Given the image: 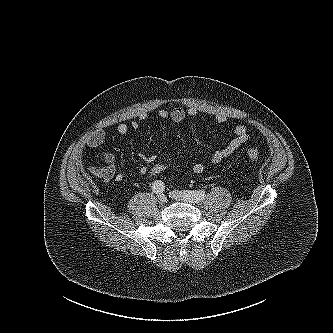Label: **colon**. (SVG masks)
<instances>
[{
	"instance_id": "1",
	"label": "colon",
	"mask_w": 333,
	"mask_h": 333,
	"mask_svg": "<svg viewBox=\"0 0 333 333\" xmlns=\"http://www.w3.org/2000/svg\"><path fill=\"white\" fill-rule=\"evenodd\" d=\"M247 155L254 162L258 161L260 158L258 150L255 149L254 147H250L247 149ZM169 164H170L169 159L156 161L149 167L148 173L151 175H159L167 170Z\"/></svg>"
}]
</instances>
